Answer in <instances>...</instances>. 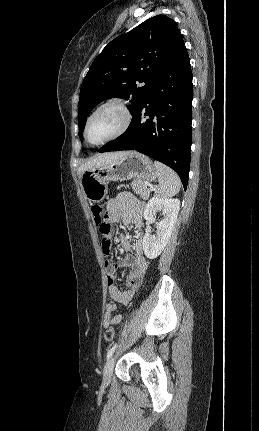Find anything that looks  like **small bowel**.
<instances>
[{
	"mask_svg": "<svg viewBox=\"0 0 259 431\" xmlns=\"http://www.w3.org/2000/svg\"><path fill=\"white\" fill-rule=\"evenodd\" d=\"M142 211L143 203L131 193H122L110 199L107 203L108 220L112 223L122 222L126 226L133 227L135 238L131 242L124 235L120 237L122 248L125 251L131 252V256L125 257L120 263L105 262L110 302L106 305L103 317L104 327L116 326L121 322L122 316L115 313L117 304L127 305L131 301L147 268V260L143 253V242L140 231ZM119 268H126L128 270V288L125 290H120L114 284Z\"/></svg>",
	"mask_w": 259,
	"mask_h": 431,
	"instance_id": "1",
	"label": "small bowel"
}]
</instances>
